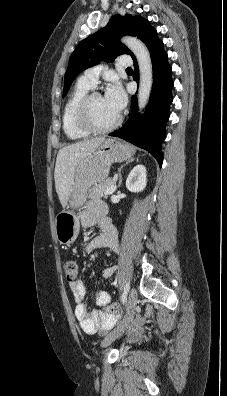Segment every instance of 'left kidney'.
I'll use <instances>...</instances> for the list:
<instances>
[{
  "mask_svg": "<svg viewBox=\"0 0 227 396\" xmlns=\"http://www.w3.org/2000/svg\"><path fill=\"white\" fill-rule=\"evenodd\" d=\"M147 183L146 168L144 165L135 166L126 179V187L131 192H141Z\"/></svg>",
  "mask_w": 227,
  "mask_h": 396,
  "instance_id": "5707ae66",
  "label": "left kidney"
}]
</instances>
